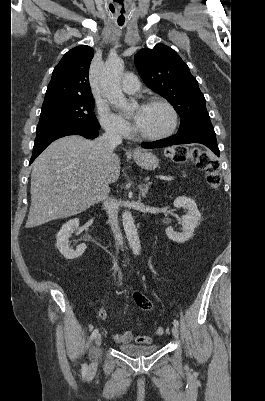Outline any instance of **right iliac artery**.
<instances>
[{
	"label": "right iliac artery",
	"mask_w": 265,
	"mask_h": 401,
	"mask_svg": "<svg viewBox=\"0 0 265 401\" xmlns=\"http://www.w3.org/2000/svg\"><path fill=\"white\" fill-rule=\"evenodd\" d=\"M97 333H98V329L96 328V329H94L93 332L91 333L90 340H93V339L96 337ZM87 368H88V367H87V364L84 363V364L82 365V374H83V375H86V374H87Z\"/></svg>",
	"instance_id": "82829eb1"
}]
</instances>
